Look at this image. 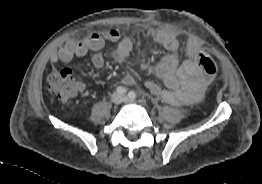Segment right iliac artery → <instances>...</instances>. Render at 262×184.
Here are the masks:
<instances>
[{"mask_svg":"<svg viewBox=\"0 0 262 184\" xmlns=\"http://www.w3.org/2000/svg\"><path fill=\"white\" fill-rule=\"evenodd\" d=\"M116 91L119 94H125L127 92V89L125 87L119 86L117 87Z\"/></svg>","mask_w":262,"mask_h":184,"instance_id":"right-iliac-artery-1","label":"right iliac artery"}]
</instances>
